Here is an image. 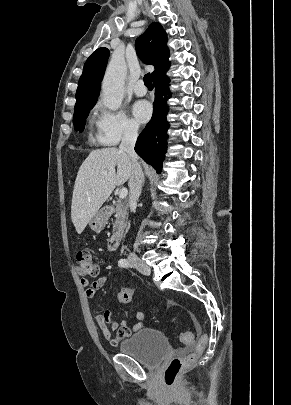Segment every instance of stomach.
<instances>
[{"label":"stomach","instance_id":"0dacf381","mask_svg":"<svg viewBox=\"0 0 291 405\" xmlns=\"http://www.w3.org/2000/svg\"><path fill=\"white\" fill-rule=\"evenodd\" d=\"M109 213L105 209L99 210L89 221L90 228L95 232H100L105 227Z\"/></svg>","mask_w":291,"mask_h":405}]
</instances>
